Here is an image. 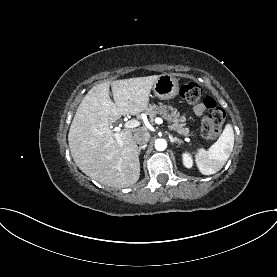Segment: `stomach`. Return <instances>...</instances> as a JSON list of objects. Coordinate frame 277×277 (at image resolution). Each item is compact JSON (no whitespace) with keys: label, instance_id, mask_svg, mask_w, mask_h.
<instances>
[{"label":"stomach","instance_id":"0dacf381","mask_svg":"<svg viewBox=\"0 0 277 277\" xmlns=\"http://www.w3.org/2000/svg\"><path fill=\"white\" fill-rule=\"evenodd\" d=\"M153 91L162 100L174 98L179 91L178 80L171 74H162L154 83Z\"/></svg>","mask_w":277,"mask_h":277}]
</instances>
